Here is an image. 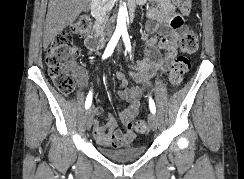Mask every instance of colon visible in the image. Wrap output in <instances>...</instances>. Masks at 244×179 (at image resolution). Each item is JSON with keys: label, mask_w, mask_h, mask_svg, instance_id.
Instances as JSON below:
<instances>
[{"label": "colon", "mask_w": 244, "mask_h": 179, "mask_svg": "<svg viewBox=\"0 0 244 179\" xmlns=\"http://www.w3.org/2000/svg\"><path fill=\"white\" fill-rule=\"evenodd\" d=\"M176 9L182 14L187 15L192 9L190 0H176ZM91 27V22L87 18H81L61 31L46 53V62L48 65V74L53 79L57 89L70 94L76 86V79L73 75L75 61L79 58L81 49L78 45L72 43V34H87ZM199 35L193 31H186L180 38V49L184 54H192L199 48ZM189 68V60L186 56H178L168 76V85L171 89L180 86L186 71ZM133 128L139 133H146L148 127L143 120H137L132 123Z\"/></svg>", "instance_id": "obj_1"}]
</instances>
